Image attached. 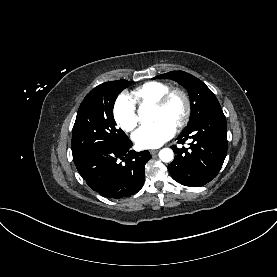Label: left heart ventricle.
Returning <instances> with one entry per match:
<instances>
[{"label": "left heart ventricle", "mask_w": 277, "mask_h": 277, "mask_svg": "<svg viewBox=\"0 0 277 277\" xmlns=\"http://www.w3.org/2000/svg\"><path fill=\"white\" fill-rule=\"evenodd\" d=\"M183 108L184 104L182 99L176 96L171 100L165 109L161 110L153 108V120L156 121L158 119H166L176 124L183 112Z\"/></svg>", "instance_id": "1"}]
</instances>
